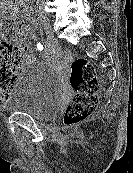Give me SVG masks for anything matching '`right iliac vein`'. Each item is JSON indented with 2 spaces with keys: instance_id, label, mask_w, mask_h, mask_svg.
I'll use <instances>...</instances> for the list:
<instances>
[{
  "instance_id": "1",
  "label": "right iliac vein",
  "mask_w": 133,
  "mask_h": 173,
  "mask_svg": "<svg viewBox=\"0 0 133 173\" xmlns=\"http://www.w3.org/2000/svg\"><path fill=\"white\" fill-rule=\"evenodd\" d=\"M37 16H38V20L40 24L45 30L47 37H49V42L53 43V40H54L53 30L47 15L44 12L39 10L37 11Z\"/></svg>"
}]
</instances>
